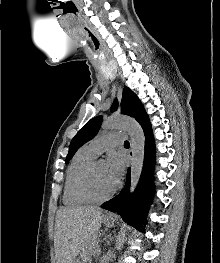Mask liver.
<instances>
[{"instance_id":"obj_1","label":"liver","mask_w":220,"mask_h":263,"mask_svg":"<svg viewBox=\"0 0 220 263\" xmlns=\"http://www.w3.org/2000/svg\"><path fill=\"white\" fill-rule=\"evenodd\" d=\"M102 210L94 206L63 207L56 213L54 248L56 263H74L93 244L101 227Z\"/></svg>"}]
</instances>
